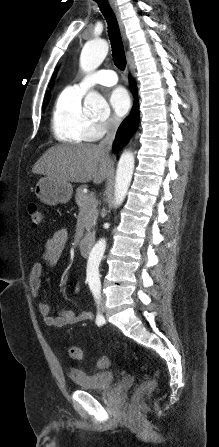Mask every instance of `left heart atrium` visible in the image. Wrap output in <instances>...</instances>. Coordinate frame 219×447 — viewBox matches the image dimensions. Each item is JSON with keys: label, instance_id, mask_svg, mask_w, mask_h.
<instances>
[{"label": "left heart atrium", "instance_id": "39dd6f15", "mask_svg": "<svg viewBox=\"0 0 219 447\" xmlns=\"http://www.w3.org/2000/svg\"><path fill=\"white\" fill-rule=\"evenodd\" d=\"M109 104L114 114L122 117L128 113L131 107V99L124 88L118 87L110 93Z\"/></svg>", "mask_w": 219, "mask_h": 447}]
</instances>
